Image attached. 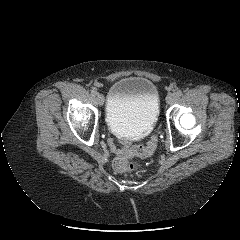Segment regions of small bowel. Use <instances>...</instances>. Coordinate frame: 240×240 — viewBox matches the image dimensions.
<instances>
[{"instance_id":"small-bowel-1","label":"small bowel","mask_w":240,"mask_h":240,"mask_svg":"<svg viewBox=\"0 0 240 240\" xmlns=\"http://www.w3.org/2000/svg\"><path fill=\"white\" fill-rule=\"evenodd\" d=\"M107 145L108 147H110L111 151L115 154L122 153L126 148L125 143L122 141H118V139L115 137L110 138L107 142Z\"/></svg>"}]
</instances>
